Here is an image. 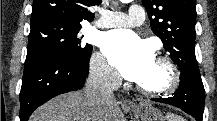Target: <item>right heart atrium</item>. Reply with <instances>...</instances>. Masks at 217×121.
Wrapping results in <instances>:
<instances>
[{
	"label": "right heart atrium",
	"mask_w": 217,
	"mask_h": 121,
	"mask_svg": "<svg viewBox=\"0 0 217 121\" xmlns=\"http://www.w3.org/2000/svg\"><path fill=\"white\" fill-rule=\"evenodd\" d=\"M90 73L97 81L108 86H115L119 82L117 72L100 52L94 53L90 59Z\"/></svg>",
	"instance_id": "obj_1"
}]
</instances>
